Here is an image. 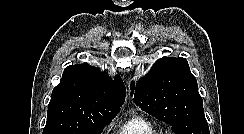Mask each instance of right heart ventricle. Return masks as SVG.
I'll list each match as a JSON object with an SVG mask.
<instances>
[{
    "label": "right heart ventricle",
    "mask_w": 244,
    "mask_h": 134,
    "mask_svg": "<svg viewBox=\"0 0 244 134\" xmlns=\"http://www.w3.org/2000/svg\"><path fill=\"white\" fill-rule=\"evenodd\" d=\"M116 134H160V132L148 119L133 116L119 126Z\"/></svg>",
    "instance_id": "1"
}]
</instances>
